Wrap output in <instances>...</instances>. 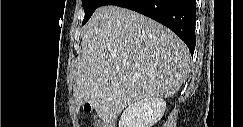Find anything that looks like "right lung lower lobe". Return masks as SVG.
<instances>
[{
    "mask_svg": "<svg viewBox=\"0 0 243 127\" xmlns=\"http://www.w3.org/2000/svg\"><path fill=\"white\" fill-rule=\"evenodd\" d=\"M195 0H105L102 6L115 5L148 16L170 28L194 53L196 36Z\"/></svg>",
    "mask_w": 243,
    "mask_h": 127,
    "instance_id": "obj_1",
    "label": "right lung lower lobe"
}]
</instances>
